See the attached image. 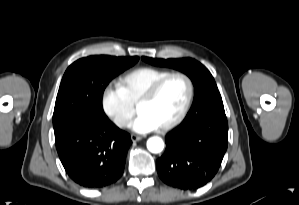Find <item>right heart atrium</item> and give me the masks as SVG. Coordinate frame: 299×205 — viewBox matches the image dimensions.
Segmentation results:
<instances>
[{
  "label": "right heart atrium",
  "instance_id": "d8ad5b80",
  "mask_svg": "<svg viewBox=\"0 0 299 205\" xmlns=\"http://www.w3.org/2000/svg\"><path fill=\"white\" fill-rule=\"evenodd\" d=\"M101 107L105 115L118 127L125 128L135 113L134 106L117 85H107L101 94Z\"/></svg>",
  "mask_w": 299,
  "mask_h": 205
}]
</instances>
